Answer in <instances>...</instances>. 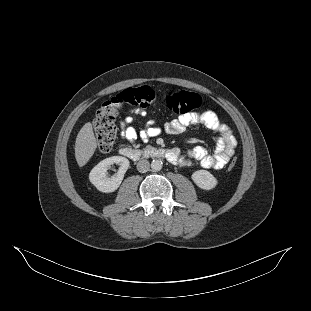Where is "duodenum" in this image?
<instances>
[{"label":"duodenum","instance_id":"obj_1","mask_svg":"<svg viewBox=\"0 0 311 311\" xmlns=\"http://www.w3.org/2000/svg\"><path fill=\"white\" fill-rule=\"evenodd\" d=\"M119 153L132 161H138L145 158L166 159L170 162L173 161V152L165 148L146 147L139 150L124 147L119 150Z\"/></svg>","mask_w":311,"mask_h":311}]
</instances>
